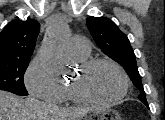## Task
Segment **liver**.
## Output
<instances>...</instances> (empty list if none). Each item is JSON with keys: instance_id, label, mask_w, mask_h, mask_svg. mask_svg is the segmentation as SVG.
Wrapping results in <instances>:
<instances>
[{"instance_id": "liver-1", "label": "liver", "mask_w": 165, "mask_h": 120, "mask_svg": "<svg viewBox=\"0 0 165 120\" xmlns=\"http://www.w3.org/2000/svg\"><path fill=\"white\" fill-rule=\"evenodd\" d=\"M91 108H61L35 98L21 99L0 90V120H81Z\"/></svg>"}]
</instances>
